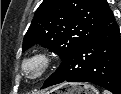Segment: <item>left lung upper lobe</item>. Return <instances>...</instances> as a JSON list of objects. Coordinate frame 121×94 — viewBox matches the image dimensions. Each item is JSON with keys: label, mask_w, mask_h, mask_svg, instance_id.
Segmentation results:
<instances>
[{"label": "left lung upper lobe", "mask_w": 121, "mask_h": 94, "mask_svg": "<svg viewBox=\"0 0 121 94\" xmlns=\"http://www.w3.org/2000/svg\"><path fill=\"white\" fill-rule=\"evenodd\" d=\"M114 20L106 0H44L35 12L22 49L39 43L65 60Z\"/></svg>", "instance_id": "1"}]
</instances>
